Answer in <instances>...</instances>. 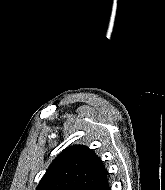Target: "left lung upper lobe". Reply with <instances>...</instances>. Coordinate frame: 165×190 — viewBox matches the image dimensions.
<instances>
[{
	"mask_svg": "<svg viewBox=\"0 0 165 190\" xmlns=\"http://www.w3.org/2000/svg\"><path fill=\"white\" fill-rule=\"evenodd\" d=\"M107 175L102 161L91 149L73 146L52 162L37 190H102Z\"/></svg>",
	"mask_w": 165,
	"mask_h": 190,
	"instance_id": "5c2ea615",
	"label": "left lung upper lobe"
}]
</instances>
